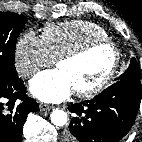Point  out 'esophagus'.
<instances>
[{
	"label": "esophagus",
	"instance_id": "esophagus-1",
	"mask_svg": "<svg viewBox=\"0 0 142 142\" xmlns=\"http://www.w3.org/2000/svg\"><path fill=\"white\" fill-rule=\"evenodd\" d=\"M54 108H55L54 106L47 105V104H41L40 105V111L52 110Z\"/></svg>",
	"mask_w": 142,
	"mask_h": 142
}]
</instances>
